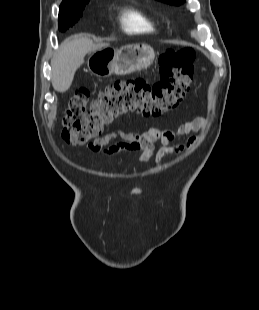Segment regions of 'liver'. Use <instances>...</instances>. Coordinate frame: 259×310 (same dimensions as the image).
<instances>
[{
  "instance_id": "6515ba94",
  "label": "liver",
  "mask_w": 259,
  "mask_h": 310,
  "mask_svg": "<svg viewBox=\"0 0 259 310\" xmlns=\"http://www.w3.org/2000/svg\"><path fill=\"white\" fill-rule=\"evenodd\" d=\"M105 46L107 44H95L90 38L82 35L64 40L51 61L54 90L66 92L72 84L75 72L83 64L85 55Z\"/></svg>"
}]
</instances>
